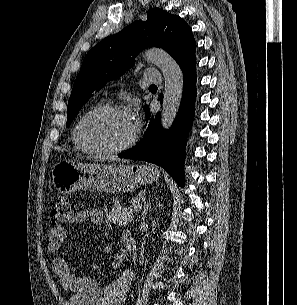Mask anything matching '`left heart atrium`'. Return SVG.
Here are the masks:
<instances>
[{
  "instance_id": "1",
  "label": "left heart atrium",
  "mask_w": 297,
  "mask_h": 305,
  "mask_svg": "<svg viewBox=\"0 0 297 305\" xmlns=\"http://www.w3.org/2000/svg\"><path fill=\"white\" fill-rule=\"evenodd\" d=\"M131 117V116H130ZM132 118V117H131ZM133 122L135 123V117L132 118Z\"/></svg>"
}]
</instances>
